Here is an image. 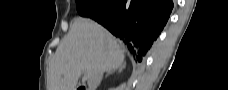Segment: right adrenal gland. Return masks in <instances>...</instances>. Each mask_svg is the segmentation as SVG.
<instances>
[{
    "label": "right adrenal gland",
    "instance_id": "obj_1",
    "mask_svg": "<svg viewBox=\"0 0 228 90\" xmlns=\"http://www.w3.org/2000/svg\"><path fill=\"white\" fill-rule=\"evenodd\" d=\"M124 67H125V65L120 66L119 69H118V71H119V72H122V70H123ZM114 72H115V70L109 71V72L106 74L105 77L109 76L110 74H113Z\"/></svg>",
    "mask_w": 228,
    "mask_h": 90
}]
</instances>
